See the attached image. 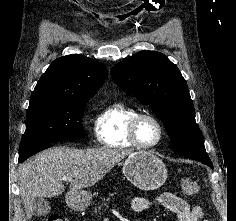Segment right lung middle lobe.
Masks as SVG:
<instances>
[{
    "mask_svg": "<svg viewBox=\"0 0 236 221\" xmlns=\"http://www.w3.org/2000/svg\"><path fill=\"white\" fill-rule=\"evenodd\" d=\"M89 99H30L19 152L30 147L84 137L82 117Z\"/></svg>",
    "mask_w": 236,
    "mask_h": 221,
    "instance_id": "right-lung-middle-lobe-1",
    "label": "right lung middle lobe"
}]
</instances>
